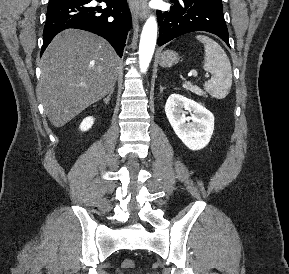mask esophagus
I'll use <instances>...</instances> for the list:
<instances>
[{
  "instance_id": "esophagus-1",
  "label": "esophagus",
  "mask_w": 289,
  "mask_h": 274,
  "mask_svg": "<svg viewBox=\"0 0 289 274\" xmlns=\"http://www.w3.org/2000/svg\"><path fill=\"white\" fill-rule=\"evenodd\" d=\"M132 5L141 20L148 15V0H132Z\"/></svg>"
}]
</instances>
